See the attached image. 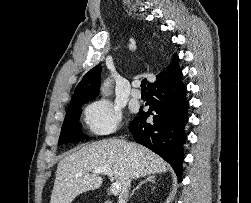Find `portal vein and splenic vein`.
I'll list each match as a JSON object with an SVG mask.
<instances>
[{
	"label": "portal vein and splenic vein",
	"instance_id": "obj_1",
	"mask_svg": "<svg viewBox=\"0 0 251 203\" xmlns=\"http://www.w3.org/2000/svg\"><path fill=\"white\" fill-rule=\"evenodd\" d=\"M94 174H105L109 177H113V171L111 168L108 167H98L93 171ZM121 191V186L118 182H113L110 186V192L114 195L119 194Z\"/></svg>",
	"mask_w": 251,
	"mask_h": 203
}]
</instances>
